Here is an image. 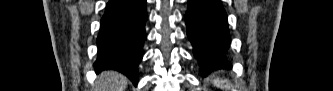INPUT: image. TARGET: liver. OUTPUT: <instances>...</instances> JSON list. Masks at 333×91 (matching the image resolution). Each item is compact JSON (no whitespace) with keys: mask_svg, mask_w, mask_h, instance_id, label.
<instances>
[{"mask_svg":"<svg viewBox=\"0 0 333 91\" xmlns=\"http://www.w3.org/2000/svg\"><path fill=\"white\" fill-rule=\"evenodd\" d=\"M127 83V78L122 74L115 71H104L96 81L95 91H124Z\"/></svg>","mask_w":333,"mask_h":91,"instance_id":"1","label":"liver"}]
</instances>
